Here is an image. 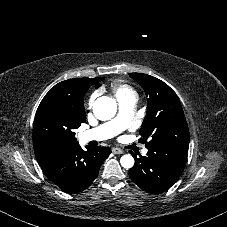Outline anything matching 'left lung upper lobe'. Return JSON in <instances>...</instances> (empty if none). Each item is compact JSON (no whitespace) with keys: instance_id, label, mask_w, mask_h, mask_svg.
<instances>
[{"instance_id":"left-lung-upper-lobe-1","label":"left lung upper lobe","mask_w":227,"mask_h":227,"mask_svg":"<svg viewBox=\"0 0 227 227\" xmlns=\"http://www.w3.org/2000/svg\"><path fill=\"white\" fill-rule=\"evenodd\" d=\"M148 96L147 114L140 129L145 146L189 143V130L176 93L163 81L141 73H130Z\"/></svg>"}]
</instances>
